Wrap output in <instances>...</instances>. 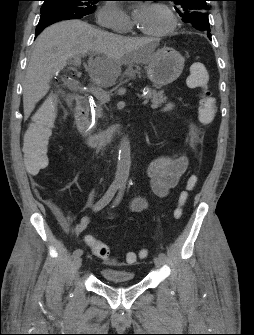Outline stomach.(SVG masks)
I'll return each mask as SVG.
<instances>
[{
	"mask_svg": "<svg viewBox=\"0 0 254 335\" xmlns=\"http://www.w3.org/2000/svg\"><path fill=\"white\" fill-rule=\"evenodd\" d=\"M184 62V57L175 49L163 47L151 54L145 67L147 76L154 87H164L181 75Z\"/></svg>",
	"mask_w": 254,
	"mask_h": 335,
	"instance_id": "obj_1",
	"label": "stomach"
}]
</instances>
